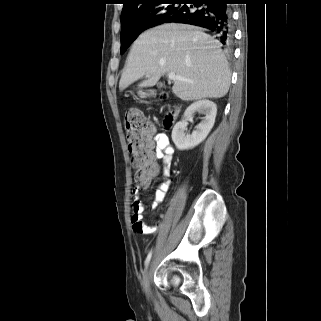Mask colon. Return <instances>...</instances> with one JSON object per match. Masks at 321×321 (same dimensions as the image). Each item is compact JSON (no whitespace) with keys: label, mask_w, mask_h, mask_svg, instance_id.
Here are the masks:
<instances>
[{"label":"colon","mask_w":321,"mask_h":321,"mask_svg":"<svg viewBox=\"0 0 321 321\" xmlns=\"http://www.w3.org/2000/svg\"><path fill=\"white\" fill-rule=\"evenodd\" d=\"M125 132L136 180L140 182L151 178L155 172L150 155L151 125L140 110L127 111Z\"/></svg>","instance_id":"obj_1"}]
</instances>
